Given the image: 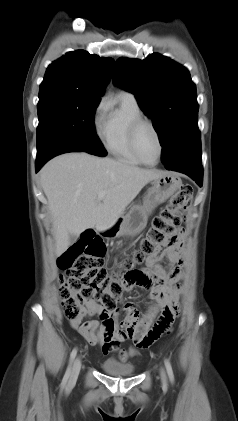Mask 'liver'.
<instances>
[{
    "label": "liver",
    "mask_w": 238,
    "mask_h": 421,
    "mask_svg": "<svg viewBox=\"0 0 238 421\" xmlns=\"http://www.w3.org/2000/svg\"><path fill=\"white\" fill-rule=\"evenodd\" d=\"M164 172L142 169L88 153H68L50 160L40 172L53 217L56 254L89 228L105 232L124 213L142 188ZM99 192L104 197L98 201Z\"/></svg>",
    "instance_id": "6515ba94"
}]
</instances>
